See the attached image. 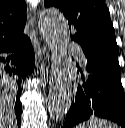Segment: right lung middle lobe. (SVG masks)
Returning <instances> with one entry per match:
<instances>
[{
    "instance_id": "1",
    "label": "right lung middle lobe",
    "mask_w": 125,
    "mask_h": 128,
    "mask_svg": "<svg viewBox=\"0 0 125 128\" xmlns=\"http://www.w3.org/2000/svg\"><path fill=\"white\" fill-rule=\"evenodd\" d=\"M0 76H2L10 84L14 81L13 77L8 76L7 74L3 73L2 71H0Z\"/></svg>"
}]
</instances>
